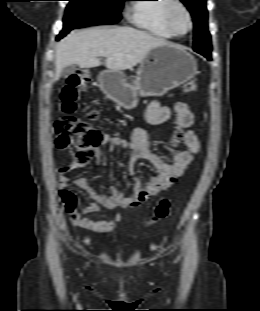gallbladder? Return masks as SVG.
Segmentation results:
<instances>
[{"label": "gallbladder", "instance_id": "1", "mask_svg": "<svg viewBox=\"0 0 260 311\" xmlns=\"http://www.w3.org/2000/svg\"><path fill=\"white\" fill-rule=\"evenodd\" d=\"M75 71H76V66L75 65L67 66V67L62 69L61 76L64 77V78H67L70 75L74 74Z\"/></svg>", "mask_w": 260, "mask_h": 311}]
</instances>
